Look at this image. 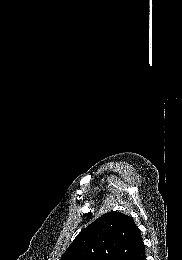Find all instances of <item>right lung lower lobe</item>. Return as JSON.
I'll use <instances>...</instances> for the list:
<instances>
[{"mask_svg": "<svg viewBox=\"0 0 182 260\" xmlns=\"http://www.w3.org/2000/svg\"><path fill=\"white\" fill-rule=\"evenodd\" d=\"M130 260H146L145 247L138 251Z\"/></svg>", "mask_w": 182, "mask_h": 260, "instance_id": "1", "label": "right lung lower lobe"}]
</instances>
